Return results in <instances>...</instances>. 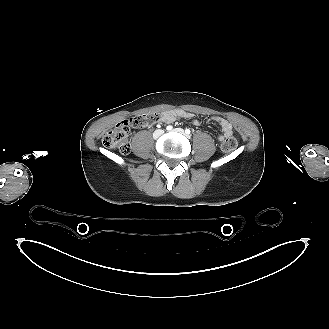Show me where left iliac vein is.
I'll return each instance as SVG.
<instances>
[{
  "instance_id": "obj_1",
  "label": "left iliac vein",
  "mask_w": 329,
  "mask_h": 329,
  "mask_svg": "<svg viewBox=\"0 0 329 329\" xmlns=\"http://www.w3.org/2000/svg\"><path fill=\"white\" fill-rule=\"evenodd\" d=\"M174 131L180 134H184V130L182 128H176Z\"/></svg>"
}]
</instances>
